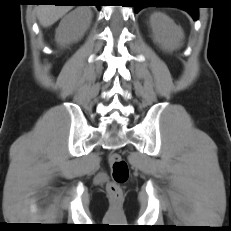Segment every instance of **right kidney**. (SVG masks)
I'll return each instance as SVG.
<instances>
[{
  "label": "right kidney",
  "instance_id": "ca27d5eb",
  "mask_svg": "<svg viewBox=\"0 0 231 231\" xmlns=\"http://www.w3.org/2000/svg\"><path fill=\"white\" fill-rule=\"evenodd\" d=\"M92 14L87 7H78L67 14L56 29L55 40L61 46L80 40L91 22Z\"/></svg>",
  "mask_w": 231,
  "mask_h": 231
}]
</instances>
